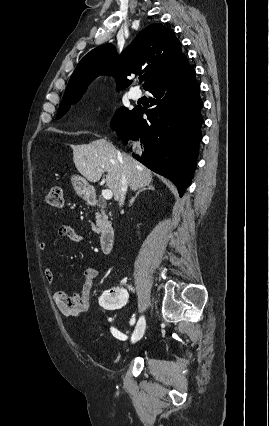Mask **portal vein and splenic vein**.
<instances>
[{
  "instance_id": "obj_1",
  "label": "portal vein and splenic vein",
  "mask_w": 269,
  "mask_h": 426,
  "mask_svg": "<svg viewBox=\"0 0 269 426\" xmlns=\"http://www.w3.org/2000/svg\"><path fill=\"white\" fill-rule=\"evenodd\" d=\"M102 197H103L105 200H110V199L113 197V193H112V191H111V190H109V189L103 190V191H102Z\"/></svg>"
}]
</instances>
